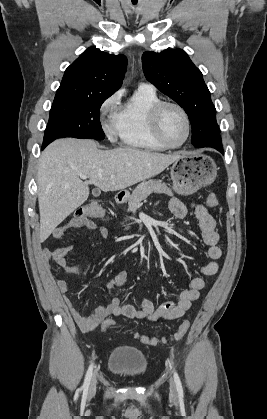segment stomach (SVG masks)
I'll return each instance as SVG.
<instances>
[{"label":"stomach","instance_id":"stomach-1","mask_svg":"<svg viewBox=\"0 0 267 419\" xmlns=\"http://www.w3.org/2000/svg\"><path fill=\"white\" fill-rule=\"evenodd\" d=\"M216 175L217 166L210 156L200 152L182 155L171 167L172 188L178 194H193L210 185ZM129 197V192L123 191V200L127 201Z\"/></svg>","mask_w":267,"mask_h":419}]
</instances>
